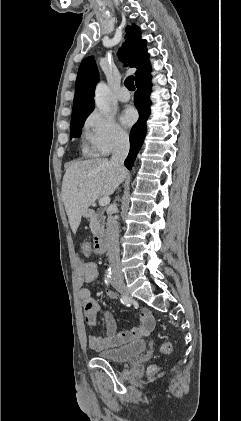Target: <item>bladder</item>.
Here are the masks:
<instances>
[{"mask_svg":"<svg viewBox=\"0 0 241 421\" xmlns=\"http://www.w3.org/2000/svg\"><path fill=\"white\" fill-rule=\"evenodd\" d=\"M146 347L144 340H137L118 348L101 351L98 357L112 363H124L142 354Z\"/></svg>","mask_w":241,"mask_h":421,"instance_id":"1","label":"bladder"}]
</instances>
